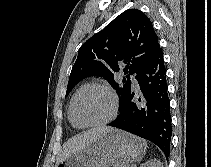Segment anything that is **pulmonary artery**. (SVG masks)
Masks as SVG:
<instances>
[{
    "label": "pulmonary artery",
    "mask_w": 211,
    "mask_h": 167,
    "mask_svg": "<svg viewBox=\"0 0 211 167\" xmlns=\"http://www.w3.org/2000/svg\"><path fill=\"white\" fill-rule=\"evenodd\" d=\"M132 82H133V84H134L135 86H137V81H136L135 78L132 79Z\"/></svg>",
    "instance_id": "pulmonary-artery-1"
}]
</instances>
